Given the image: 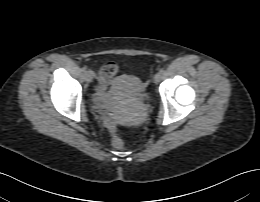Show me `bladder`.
Segmentation results:
<instances>
[{
  "mask_svg": "<svg viewBox=\"0 0 260 202\" xmlns=\"http://www.w3.org/2000/svg\"><path fill=\"white\" fill-rule=\"evenodd\" d=\"M141 82L132 75H120L116 77L109 89V94L115 98L127 101L132 107L131 111L139 117L145 113V109L138 104V93Z\"/></svg>",
  "mask_w": 260,
  "mask_h": 202,
  "instance_id": "obj_1",
  "label": "bladder"
}]
</instances>
